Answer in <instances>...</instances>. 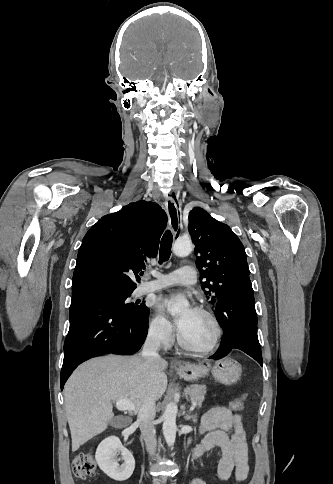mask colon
<instances>
[{
  "label": "colon",
  "mask_w": 333,
  "mask_h": 484,
  "mask_svg": "<svg viewBox=\"0 0 333 484\" xmlns=\"http://www.w3.org/2000/svg\"><path fill=\"white\" fill-rule=\"evenodd\" d=\"M247 395L234 399L226 406L228 409L238 412L243 409L244 401ZM73 473L80 479H87L96 474L97 464L94 455L91 452H83L75 456L72 463Z\"/></svg>",
  "instance_id": "5ec220e1"
}]
</instances>
